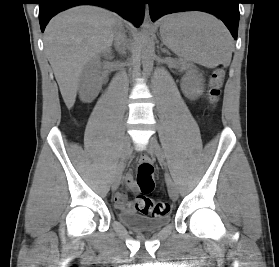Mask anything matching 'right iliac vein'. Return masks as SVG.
<instances>
[{
  "label": "right iliac vein",
  "mask_w": 279,
  "mask_h": 267,
  "mask_svg": "<svg viewBox=\"0 0 279 267\" xmlns=\"http://www.w3.org/2000/svg\"><path fill=\"white\" fill-rule=\"evenodd\" d=\"M130 147H131V140L129 136H126L124 138L123 144H122V148H121V152H120V163L118 166V169L114 175L113 181H112V190L115 191L121 181V172H122V168H123V164H124V160L126 159V157L129 154L130 151Z\"/></svg>",
  "instance_id": "63e3f726"
}]
</instances>
